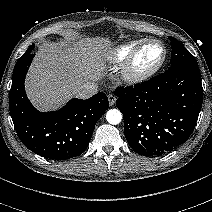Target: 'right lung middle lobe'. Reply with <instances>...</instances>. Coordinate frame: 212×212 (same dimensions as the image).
<instances>
[{
	"instance_id": "dd1d6c3e",
	"label": "right lung middle lobe",
	"mask_w": 212,
	"mask_h": 212,
	"mask_svg": "<svg viewBox=\"0 0 212 212\" xmlns=\"http://www.w3.org/2000/svg\"><path fill=\"white\" fill-rule=\"evenodd\" d=\"M34 48V44H32L28 49H33Z\"/></svg>"
}]
</instances>
